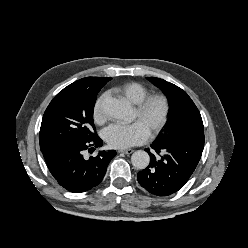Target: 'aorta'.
<instances>
[{
  "mask_svg": "<svg viewBox=\"0 0 248 248\" xmlns=\"http://www.w3.org/2000/svg\"><path fill=\"white\" fill-rule=\"evenodd\" d=\"M103 112L115 119L128 120L131 115V107L124 99L108 98L102 104ZM150 162L149 154L143 150L134 152L131 163L137 169H145Z\"/></svg>",
  "mask_w": 248,
  "mask_h": 248,
  "instance_id": "obj_1",
  "label": "aorta"
}]
</instances>
